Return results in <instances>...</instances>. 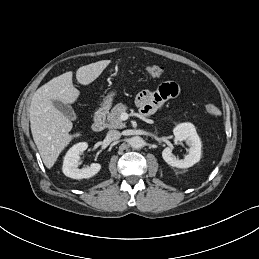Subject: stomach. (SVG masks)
I'll use <instances>...</instances> for the list:
<instances>
[{
    "instance_id": "0dacf381",
    "label": "stomach",
    "mask_w": 259,
    "mask_h": 259,
    "mask_svg": "<svg viewBox=\"0 0 259 259\" xmlns=\"http://www.w3.org/2000/svg\"><path fill=\"white\" fill-rule=\"evenodd\" d=\"M115 96H116V91H110L103 99L102 104L111 105Z\"/></svg>"
}]
</instances>
